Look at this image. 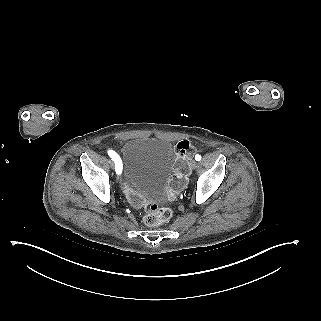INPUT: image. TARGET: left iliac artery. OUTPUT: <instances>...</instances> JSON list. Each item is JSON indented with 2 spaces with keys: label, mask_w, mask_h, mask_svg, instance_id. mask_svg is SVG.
Wrapping results in <instances>:
<instances>
[{
  "label": "left iliac artery",
  "mask_w": 321,
  "mask_h": 321,
  "mask_svg": "<svg viewBox=\"0 0 321 321\" xmlns=\"http://www.w3.org/2000/svg\"><path fill=\"white\" fill-rule=\"evenodd\" d=\"M195 159H196L197 161H200V160H201V155L197 154V155L195 156Z\"/></svg>",
  "instance_id": "44dca946"
}]
</instances>
